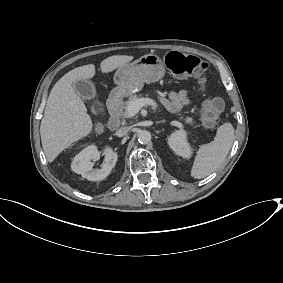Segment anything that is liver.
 <instances>
[{"label": "liver", "mask_w": 283, "mask_h": 283, "mask_svg": "<svg viewBox=\"0 0 283 283\" xmlns=\"http://www.w3.org/2000/svg\"><path fill=\"white\" fill-rule=\"evenodd\" d=\"M132 59L133 56H110L101 62V71L111 72ZM94 75L95 66L84 65L66 73L53 86L40 125L42 147L48 162L54 161L64 149L91 132L92 120L84 102L76 94L74 84Z\"/></svg>", "instance_id": "obj_1"}]
</instances>
